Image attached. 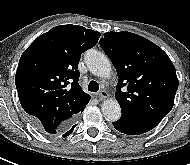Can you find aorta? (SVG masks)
<instances>
[{"mask_svg":"<svg viewBox=\"0 0 190 165\" xmlns=\"http://www.w3.org/2000/svg\"><path fill=\"white\" fill-rule=\"evenodd\" d=\"M89 71L98 76L107 78L111 74V63L106 55L99 51H91L86 57ZM101 110L108 121H117L121 117V108L117 100L107 99L103 101Z\"/></svg>","mask_w":190,"mask_h":165,"instance_id":"762f6f07","label":"aorta"}]
</instances>
